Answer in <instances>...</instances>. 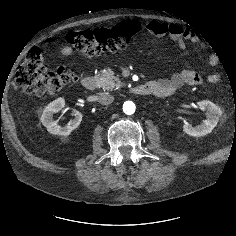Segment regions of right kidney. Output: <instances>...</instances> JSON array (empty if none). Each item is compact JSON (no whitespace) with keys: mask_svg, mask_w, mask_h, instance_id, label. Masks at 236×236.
Here are the masks:
<instances>
[{"mask_svg":"<svg viewBox=\"0 0 236 236\" xmlns=\"http://www.w3.org/2000/svg\"><path fill=\"white\" fill-rule=\"evenodd\" d=\"M64 107V99L58 98L57 100L48 104L42 113L40 120L51 134L67 136L74 129H76L82 121V114L78 110H73V115L75 118L71 120L66 126H59L57 121L53 119V114L59 112Z\"/></svg>","mask_w":236,"mask_h":236,"instance_id":"ca27d5eb","label":"right kidney"}]
</instances>
